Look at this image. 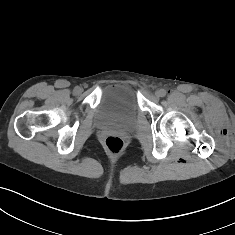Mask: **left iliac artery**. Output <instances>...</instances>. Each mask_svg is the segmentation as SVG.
Wrapping results in <instances>:
<instances>
[{
	"label": "left iliac artery",
	"mask_w": 235,
	"mask_h": 235,
	"mask_svg": "<svg viewBox=\"0 0 235 235\" xmlns=\"http://www.w3.org/2000/svg\"><path fill=\"white\" fill-rule=\"evenodd\" d=\"M166 95V91L162 89V97Z\"/></svg>",
	"instance_id": "left-iliac-artery-1"
}]
</instances>
